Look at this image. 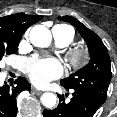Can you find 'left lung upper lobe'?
<instances>
[{
	"label": "left lung upper lobe",
	"mask_w": 117,
	"mask_h": 117,
	"mask_svg": "<svg viewBox=\"0 0 117 117\" xmlns=\"http://www.w3.org/2000/svg\"><path fill=\"white\" fill-rule=\"evenodd\" d=\"M59 20L72 24L84 38L90 54V63L79 69L60 84L73 90H80L104 103L111 80L110 57L100 37L84 24L70 16L58 17Z\"/></svg>",
	"instance_id": "obj_1"
}]
</instances>
